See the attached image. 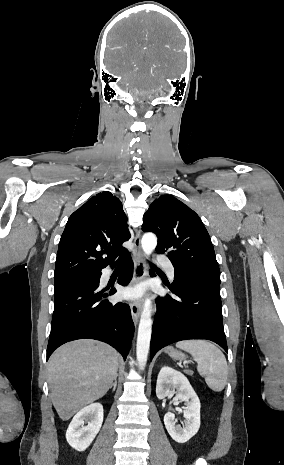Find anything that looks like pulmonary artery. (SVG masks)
Masks as SVG:
<instances>
[{"label":"pulmonary artery","instance_id":"obj_1","mask_svg":"<svg viewBox=\"0 0 284 465\" xmlns=\"http://www.w3.org/2000/svg\"><path fill=\"white\" fill-rule=\"evenodd\" d=\"M158 261L161 263H166L168 261V256L166 254H161L158 256ZM168 275L170 276L171 279L174 278V270L169 269L168 270Z\"/></svg>","mask_w":284,"mask_h":465}]
</instances>
